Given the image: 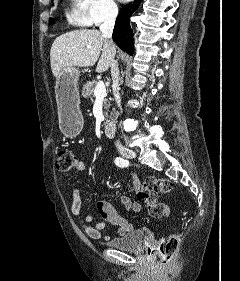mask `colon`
<instances>
[{
  "mask_svg": "<svg viewBox=\"0 0 240 281\" xmlns=\"http://www.w3.org/2000/svg\"><path fill=\"white\" fill-rule=\"evenodd\" d=\"M77 156L69 149L61 150L58 153L56 167L61 172H68L76 168ZM172 183L168 180L149 177L136 190L139 202L147 206L149 214L154 218L167 217L170 213L169 207L157 200L158 195H166L172 191ZM180 245V238L177 234H171L166 240L159 243L154 249L158 262L168 265L177 254Z\"/></svg>",
  "mask_w": 240,
  "mask_h": 281,
  "instance_id": "1",
  "label": "colon"
}]
</instances>
